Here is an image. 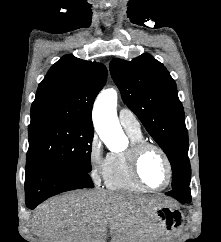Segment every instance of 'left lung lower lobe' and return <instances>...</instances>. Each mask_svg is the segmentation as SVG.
I'll list each match as a JSON object with an SVG mask.
<instances>
[{
	"label": "left lung lower lobe",
	"instance_id": "obj_1",
	"mask_svg": "<svg viewBox=\"0 0 221 242\" xmlns=\"http://www.w3.org/2000/svg\"><path fill=\"white\" fill-rule=\"evenodd\" d=\"M167 195L176 198L182 204L189 203L191 201V194L189 186L173 189L166 193Z\"/></svg>",
	"mask_w": 221,
	"mask_h": 242
}]
</instances>
